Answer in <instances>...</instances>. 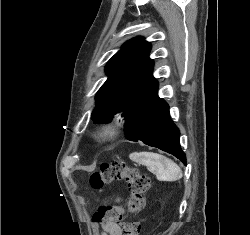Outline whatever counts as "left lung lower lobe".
I'll return each mask as SVG.
<instances>
[{"label":"left lung lower lobe","instance_id":"1","mask_svg":"<svg viewBox=\"0 0 250 235\" xmlns=\"http://www.w3.org/2000/svg\"><path fill=\"white\" fill-rule=\"evenodd\" d=\"M126 121L125 133L130 141L140 140L159 148L186 165V155L179 142V130L170 119L168 104L158 96L155 78L136 100Z\"/></svg>","mask_w":250,"mask_h":235}]
</instances>
